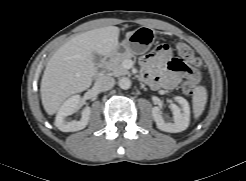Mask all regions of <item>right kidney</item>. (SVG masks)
Here are the masks:
<instances>
[{
	"label": "right kidney",
	"mask_w": 246,
	"mask_h": 181,
	"mask_svg": "<svg viewBox=\"0 0 246 181\" xmlns=\"http://www.w3.org/2000/svg\"><path fill=\"white\" fill-rule=\"evenodd\" d=\"M80 104V96L74 95L67 99L59 108L56 118L55 126L62 132H75L84 129L90 119L91 108L85 107L82 111V117L79 121L73 120L67 122L65 118L69 115L74 114Z\"/></svg>",
	"instance_id": "right-kidney-1"
}]
</instances>
